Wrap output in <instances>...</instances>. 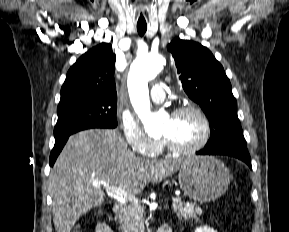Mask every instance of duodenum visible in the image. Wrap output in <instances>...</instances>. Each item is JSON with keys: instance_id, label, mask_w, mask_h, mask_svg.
<instances>
[{"instance_id": "duodenum-1", "label": "duodenum", "mask_w": 289, "mask_h": 232, "mask_svg": "<svg viewBox=\"0 0 289 232\" xmlns=\"http://www.w3.org/2000/svg\"><path fill=\"white\" fill-rule=\"evenodd\" d=\"M124 211L122 204H115L113 207L114 217L116 220L120 219ZM157 232H172L168 226H162Z\"/></svg>"}]
</instances>
